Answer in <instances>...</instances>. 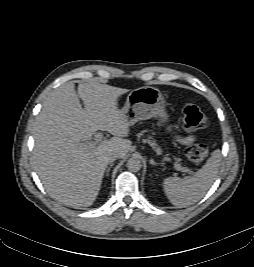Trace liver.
Listing matches in <instances>:
<instances>
[{"label": "liver", "mask_w": 254, "mask_h": 267, "mask_svg": "<svg viewBox=\"0 0 254 267\" xmlns=\"http://www.w3.org/2000/svg\"><path fill=\"white\" fill-rule=\"evenodd\" d=\"M126 92L95 81L80 83L76 92L74 82H67L45 99L34 122L32 163L50 197L76 209L94 203L110 155L124 158L131 147L130 123L118 108ZM97 130L114 137L84 146L81 141Z\"/></svg>", "instance_id": "6515ba94"}]
</instances>
